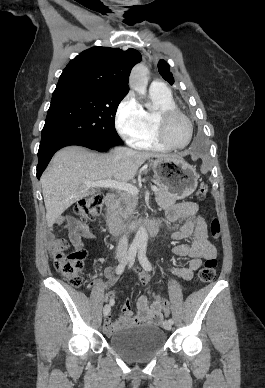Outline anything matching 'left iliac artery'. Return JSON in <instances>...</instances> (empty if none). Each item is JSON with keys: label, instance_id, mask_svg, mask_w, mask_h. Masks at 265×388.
<instances>
[{"label": "left iliac artery", "instance_id": "obj_1", "mask_svg": "<svg viewBox=\"0 0 265 388\" xmlns=\"http://www.w3.org/2000/svg\"><path fill=\"white\" fill-rule=\"evenodd\" d=\"M138 259H139L140 264L142 265V267L145 270L150 271L152 269V266H151V264L146 256V245L145 244H142L139 246ZM168 321L171 324L174 323L172 318H170Z\"/></svg>", "mask_w": 265, "mask_h": 388}]
</instances>
